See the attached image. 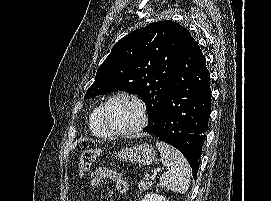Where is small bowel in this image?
Segmentation results:
<instances>
[{"label":"small bowel","mask_w":271,"mask_h":201,"mask_svg":"<svg viewBox=\"0 0 271 201\" xmlns=\"http://www.w3.org/2000/svg\"><path fill=\"white\" fill-rule=\"evenodd\" d=\"M103 179H110L114 182L116 189L120 193H126L128 190L127 180L117 171L100 168L90 178V185L97 186Z\"/></svg>","instance_id":"small-bowel-1"}]
</instances>
